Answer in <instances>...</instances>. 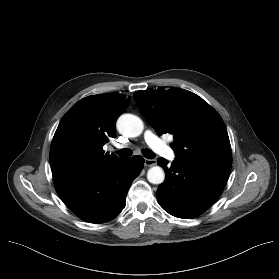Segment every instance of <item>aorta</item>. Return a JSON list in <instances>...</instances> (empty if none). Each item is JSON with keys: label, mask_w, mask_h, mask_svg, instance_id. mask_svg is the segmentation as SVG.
<instances>
[{"label": "aorta", "mask_w": 279, "mask_h": 279, "mask_svg": "<svg viewBox=\"0 0 279 279\" xmlns=\"http://www.w3.org/2000/svg\"><path fill=\"white\" fill-rule=\"evenodd\" d=\"M117 128L127 137H137L142 133L144 125L138 116L123 114L117 120ZM147 179L150 183L159 185L164 182L165 173L160 166H154L148 170Z\"/></svg>", "instance_id": "1"}]
</instances>
